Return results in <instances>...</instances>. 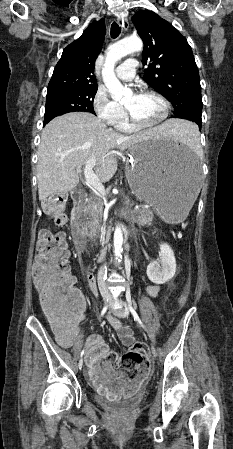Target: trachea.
Masks as SVG:
<instances>
[{
    "label": "trachea",
    "instance_id": "obj_1",
    "mask_svg": "<svg viewBox=\"0 0 233 449\" xmlns=\"http://www.w3.org/2000/svg\"><path fill=\"white\" fill-rule=\"evenodd\" d=\"M121 31V27H119V25L116 22H113L111 25V37L112 38H117L120 34Z\"/></svg>",
    "mask_w": 233,
    "mask_h": 449
}]
</instances>
